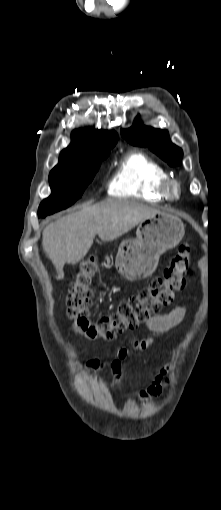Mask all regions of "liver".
Here are the masks:
<instances>
[{"mask_svg": "<svg viewBox=\"0 0 221 510\" xmlns=\"http://www.w3.org/2000/svg\"><path fill=\"white\" fill-rule=\"evenodd\" d=\"M158 209L124 199H108L94 205H83L46 226L42 233L44 252L64 278L63 267L75 265L90 250L96 235L111 241L133 229Z\"/></svg>", "mask_w": 221, "mask_h": 510, "instance_id": "6515ba94", "label": "liver"}]
</instances>
